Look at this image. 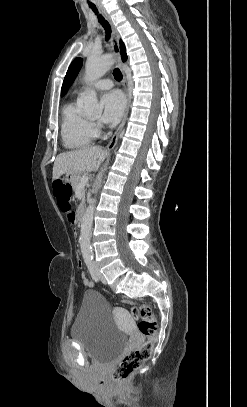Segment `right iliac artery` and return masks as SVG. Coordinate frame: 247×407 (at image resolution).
<instances>
[{
  "instance_id": "82829eb1",
  "label": "right iliac artery",
  "mask_w": 247,
  "mask_h": 407,
  "mask_svg": "<svg viewBox=\"0 0 247 407\" xmlns=\"http://www.w3.org/2000/svg\"><path fill=\"white\" fill-rule=\"evenodd\" d=\"M85 263H86V265H87V267H88V270H89V272H90V274H91L92 279H93L95 282H98V281H99V277H98L97 272H96V270H95V268H94V266H93L92 257H86V258H85Z\"/></svg>"
}]
</instances>
